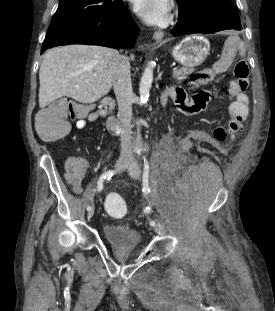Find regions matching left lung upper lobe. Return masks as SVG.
Wrapping results in <instances>:
<instances>
[{"instance_id": "left-lung-upper-lobe-1", "label": "left lung upper lobe", "mask_w": 275, "mask_h": 311, "mask_svg": "<svg viewBox=\"0 0 275 311\" xmlns=\"http://www.w3.org/2000/svg\"><path fill=\"white\" fill-rule=\"evenodd\" d=\"M179 5V13L189 14L204 8H227L239 18L236 7L231 0H176Z\"/></svg>"}]
</instances>
